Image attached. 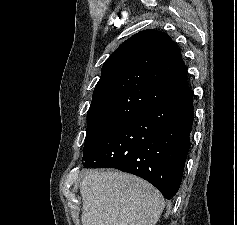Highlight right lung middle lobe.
Segmentation results:
<instances>
[{
	"label": "right lung middle lobe",
	"instance_id": "dd1d6c3e",
	"mask_svg": "<svg viewBox=\"0 0 237 225\" xmlns=\"http://www.w3.org/2000/svg\"><path fill=\"white\" fill-rule=\"evenodd\" d=\"M127 121L119 118L88 119L83 158Z\"/></svg>",
	"mask_w": 237,
	"mask_h": 225
}]
</instances>
